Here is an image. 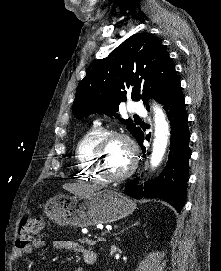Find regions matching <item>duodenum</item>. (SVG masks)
<instances>
[{"instance_id":"obj_1","label":"duodenum","mask_w":221,"mask_h":271,"mask_svg":"<svg viewBox=\"0 0 221 271\" xmlns=\"http://www.w3.org/2000/svg\"><path fill=\"white\" fill-rule=\"evenodd\" d=\"M85 262L88 264H93L96 261V255H89L85 257Z\"/></svg>"}]
</instances>
